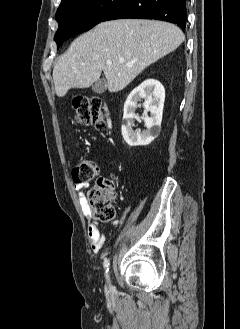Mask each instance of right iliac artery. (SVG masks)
Instances as JSON below:
<instances>
[{"label": "right iliac artery", "mask_w": 240, "mask_h": 329, "mask_svg": "<svg viewBox=\"0 0 240 329\" xmlns=\"http://www.w3.org/2000/svg\"><path fill=\"white\" fill-rule=\"evenodd\" d=\"M109 265H110V262L108 259H105L104 260V268L106 269V272L109 271Z\"/></svg>", "instance_id": "82829eb1"}]
</instances>
